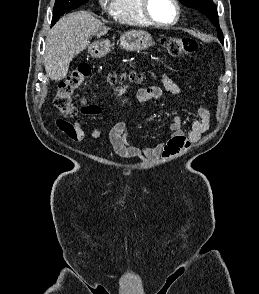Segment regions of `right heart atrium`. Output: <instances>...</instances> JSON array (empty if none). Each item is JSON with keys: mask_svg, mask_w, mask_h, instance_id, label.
<instances>
[{"mask_svg": "<svg viewBox=\"0 0 259 294\" xmlns=\"http://www.w3.org/2000/svg\"><path fill=\"white\" fill-rule=\"evenodd\" d=\"M100 5L103 8H108L110 6L111 0H99Z\"/></svg>", "mask_w": 259, "mask_h": 294, "instance_id": "obj_1", "label": "right heart atrium"}]
</instances>
